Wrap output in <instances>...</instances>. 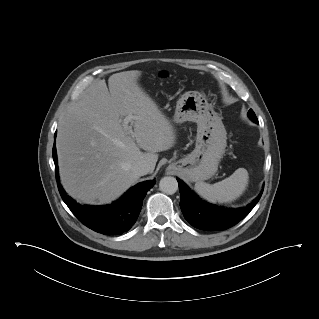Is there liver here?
Returning a JSON list of instances; mask_svg holds the SVG:
<instances>
[{
  "instance_id": "1",
  "label": "liver",
  "mask_w": 319,
  "mask_h": 319,
  "mask_svg": "<svg viewBox=\"0 0 319 319\" xmlns=\"http://www.w3.org/2000/svg\"><path fill=\"white\" fill-rule=\"evenodd\" d=\"M141 74L115 73L108 79L109 90L105 80H99L59 122L60 179L79 202L107 204L117 199L140 177L132 171L134 164L145 161L152 173L157 152L175 143L172 124L138 83ZM129 115L130 129L123 124Z\"/></svg>"
}]
</instances>
